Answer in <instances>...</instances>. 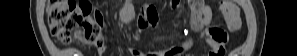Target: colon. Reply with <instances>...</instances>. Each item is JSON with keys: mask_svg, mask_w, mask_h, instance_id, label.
<instances>
[{"mask_svg": "<svg viewBox=\"0 0 297 56\" xmlns=\"http://www.w3.org/2000/svg\"><path fill=\"white\" fill-rule=\"evenodd\" d=\"M226 5V2L221 3V8L224 10ZM47 15L51 34L61 43L80 40L89 46H103L102 15L88 1L49 0ZM239 28L240 19L237 16L236 30ZM222 55V51L210 53V56Z\"/></svg>", "mask_w": 297, "mask_h": 56, "instance_id": "colon-1", "label": "colon"}]
</instances>
